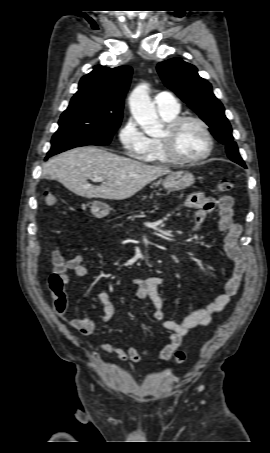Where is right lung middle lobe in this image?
Returning a JSON list of instances; mask_svg holds the SVG:
<instances>
[{
    "label": "right lung middle lobe",
    "mask_w": 270,
    "mask_h": 453,
    "mask_svg": "<svg viewBox=\"0 0 270 453\" xmlns=\"http://www.w3.org/2000/svg\"><path fill=\"white\" fill-rule=\"evenodd\" d=\"M121 119L93 113L62 116L47 156L84 145H107L119 128Z\"/></svg>",
    "instance_id": "obj_1"
}]
</instances>
